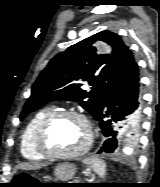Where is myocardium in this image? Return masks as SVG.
<instances>
[{
    "label": "myocardium",
    "instance_id": "f54148a6",
    "mask_svg": "<svg viewBox=\"0 0 160 187\" xmlns=\"http://www.w3.org/2000/svg\"><path fill=\"white\" fill-rule=\"evenodd\" d=\"M76 117L80 119L87 130V140L78 150L73 152H62L51 146V133L54 126L63 118ZM93 142V129L87 116L77 110H59L50 113L39 125L36 134V144L39 151L50 159H75L86 154Z\"/></svg>",
    "mask_w": 160,
    "mask_h": 187
}]
</instances>
